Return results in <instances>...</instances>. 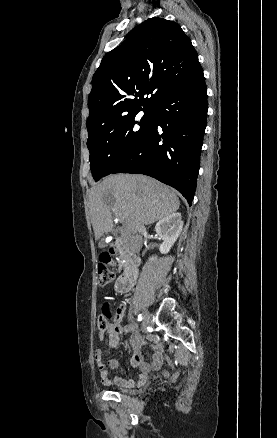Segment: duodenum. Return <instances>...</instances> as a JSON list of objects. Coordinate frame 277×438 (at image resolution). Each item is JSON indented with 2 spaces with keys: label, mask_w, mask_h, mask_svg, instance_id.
Returning <instances> with one entry per match:
<instances>
[{
  "label": "duodenum",
  "mask_w": 277,
  "mask_h": 438,
  "mask_svg": "<svg viewBox=\"0 0 277 438\" xmlns=\"http://www.w3.org/2000/svg\"><path fill=\"white\" fill-rule=\"evenodd\" d=\"M110 247L118 249L125 254L124 271L116 284L117 291L121 294H124L127 293L135 284L138 276L140 259L128 243L114 241L110 244Z\"/></svg>",
  "instance_id": "duodenum-1"
}]
</instances>
